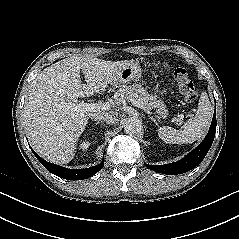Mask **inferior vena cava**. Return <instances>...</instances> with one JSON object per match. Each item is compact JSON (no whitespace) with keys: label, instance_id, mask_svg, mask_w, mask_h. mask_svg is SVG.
<instances>
[{"label":"inferior vena cava","instance_id":"obj_1","mask_svg":"<svg viewBox=\"0 0 239 239\" xmlns=\"http://www.w3.org/2000/svg\"><path fill=\"white\" fill-rule=\"evenodd\" d=\"M91 118L94 120L106 122L107 124H114L116 121L115 116L112 114H94Z\"/></svg>","mask_w":239,"mask_h":239}]
</instances>
